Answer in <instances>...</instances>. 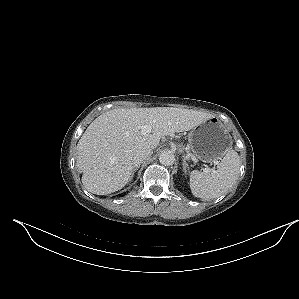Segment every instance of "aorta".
<instances>
[{
	"mask_svg": "<svg viewBox=\"0 0 299 299\" xmlns=\"http://www.w3.org/2000/svg\"><path fill=\"white\" fill-rule=\"evenodd\" d=\"M159 162L164 166H170L175 162V155L171 151H163L159 155Z\"/></svg>",
	"mask_w": 299,
	"mask_h": 299,
	"instance_id": "aorta-1",
	"label": "aorta"
}]
</instances>
